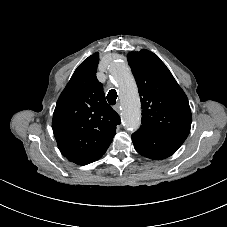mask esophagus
I'll list each match as a JSON object with an SVG mask.
<instances>
[{
    "label": "esophagus",
    "mask_w": 227,
    "mask_h": 227,
    "mask_svg": "<svg viewBox=\"0 0 227 227\" xmlns=\"http://www.w3.org/2000/svg\"><path fill=\"white\" fill-rule=\"evenodd\" d=\"M114 110L117 112V113H120L121 112V107L119 104L115 105L114 106Z\"/></svg>",
    "instance_id": "1"
}]
</instances>
